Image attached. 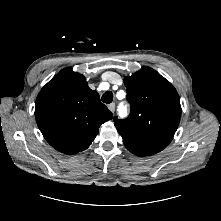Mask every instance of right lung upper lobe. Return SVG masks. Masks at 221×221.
I'll return each instance as SVG.
<instances>
[{"label":"right lung upper lobe","instance_id":"right-lung-upper-lobe-1","mask_svg":"<svg viewBox=\"0 0 221 221\" xmlns=\"http://www.w3.org/2000/svg\"><path fill=\"white\" fill-rule=\"evenodd\" d=\"M35 118L46 141L65 154L87 149L112 113L83 75L65 68L40 91Z\"/></svg>","mask_w":221,"mask_h":221}]
</instances>
